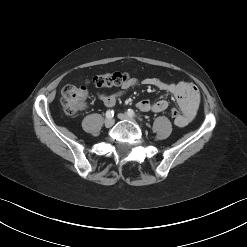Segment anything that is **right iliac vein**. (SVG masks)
<instances>
[{"mask_svg":"<svg viewBox=\"0 0 247 247\" xmlns=\"http://www.w3.org/2000/svg\"><path fill=\"white\" fill-rule=\"evenodd\" d=\"M104 123L106 127H112L115 123V120L113 118H107L105 119Z\"/></svg>","mask_w":247,"mask_h":247,"instance_id":"obj_1","label":"right iliac vein"}]
</instances>
